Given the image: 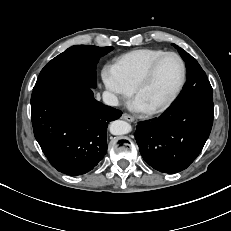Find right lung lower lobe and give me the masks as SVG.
<instances>
[{
	"label": "right lung lower lobe",
	"mask_w": 231,
	"mask_h": 231,
	"mask_svg": "<svg viewBox=\"0 0 231 231\" xmlns=\"http://www.w3.org/2000/svg\"><path fill=\"white\" fill-rule=\"evenodd\" d=\"M34 135L59 172L81 175L107 152V126L122 112L94 99L90 87L64 84L34 90L31 97Z\"/></svg>",
	"instance_id": "98d812e1"
}]
</instances>
